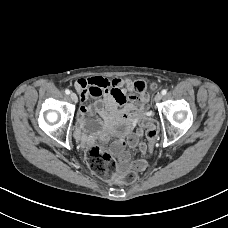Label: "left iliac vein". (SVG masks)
I'll use <instances>...</instances> for the list:
<instances>
[{
    "label": "left iliac vein",
    "mask_w": 228,
    "mask_h": 228,
    "mask_svg": "<svg viewBox=\"0 0 228 228\" xmlns=\"http://www.w3.org/2000/svg\"><path fill=\"white\" fill-rule=\"evenodd\" d=\"M162 93H157L154 97L155 102H159L162 99Z\"/></svg>",
    "instance_id": "left-iliac-vein-1"
}]
</instances>
